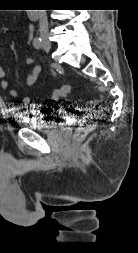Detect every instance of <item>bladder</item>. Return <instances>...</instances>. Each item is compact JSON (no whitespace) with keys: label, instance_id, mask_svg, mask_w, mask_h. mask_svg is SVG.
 I'll return each mask as SVG.
<instances>
[{"label":"bladder","instance_id":"bladder-1","mask_svg":"<svg viewBox=\"0 0 138 253\" xmlns=\"http://www.w3.org/2000/svg\"><path fill=\"white\" fill-rule=\"evenodd\" d=\"M34 108H36L34 106ZM50 110L47 109V113L43 111H20L19 112V121L21 124L29 129L38 131V132H49L57 127V124L53 121L47 120Z\"/></svg>","mask_w":138,"mask_h":253}]
</instances>
